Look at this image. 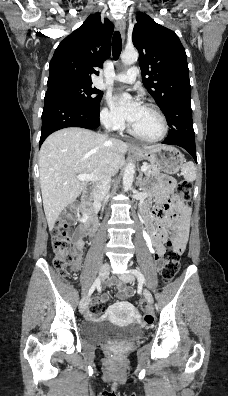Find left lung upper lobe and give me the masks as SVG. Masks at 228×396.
Listing matches in <instances>:
<instances>
[{
    "label": "left lung upper lobe",
    "instance_id": "obj_1",
    "mask_svg": "<svg viewBox=\"0 0 228 396\" xmlns=\"http://www.w3.org/2000/svg\"><path fill=\"white\" fill-rule=\"evenodd\" d=\"M132 41L139 51L143 84L161 111L180 99H190L186 52L178 36L148 15L139 13ZM174 109L175 116L182 112L178 103Z\"/></svg>",
    "mask_w": 228,
    "mask_h": 396
}]
</instances>
